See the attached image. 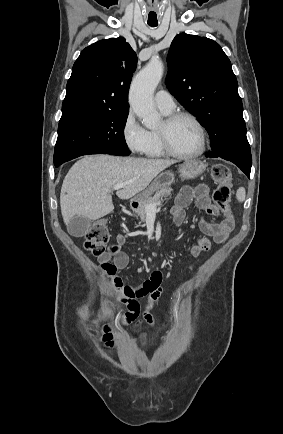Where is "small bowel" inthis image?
<instances>
[{
	"label": "small bowel",
	"instance_id": "c3829d8e",
	"mask_svg": "<svg viewBox=\"0 0 283 434\" xmlns=\"http://www.w3.org/2000/svg\"><path fill=\"white\" fill-rule=\"evenodd\" d=\"M193 200L196 201L197 206L206 215H219L218 208L211 204L209 189L206 185L185 186L180 190L171 208V215L177 226L183 223L185 208ZM199 228L203 235L199 236L195 243L190 246V253L195 258L210 251L211 241L209 238H212L215 243L225 242L234 228V220L232 218H224L218 223H212L205 218H201ZM125 241V235L118 234L115 244L111 245L109 251L98 258L101 272L112 279L113 287L117 291L121 302H123L128 309L114 325L122 326L131 322H135L136 326H141L143 323L151 325L153 324V318L150 314V308L152 303L162 293V274L159 270L154 271L150 279L144 283L143 287L137 290L128 285H124L118 274L127 267L129 262L128 256L122 250ZM144 296L147 297V302L144 310H141L138 298ZM116 337V333L113 331V325L103 327L100 340L107 348L111 349L115 346ZM144 343L145 336H142L141 344Z\"/></svg>",
	"mask_w": 283,
	"mask_h": 434
}]
</instances>
